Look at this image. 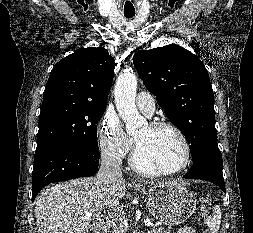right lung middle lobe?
<instances>
[{
    "instance_id": "obj_1",
    "label": "right lung middle lobe",
    "mask_w": 253,
    "mask_h": 233,
    "mask_svg": "<svg viewBox=\"0 0 253 233\" xmlns=\"http://www.w3.org/2000/svg\"><path fill=\"white\" fill-rule=\"evenodd\" d=\"M106 104L51 101L42 104L37 147L49 142L65 143L99 153L96 124Z\"/></svg>"
}]
</instances>
